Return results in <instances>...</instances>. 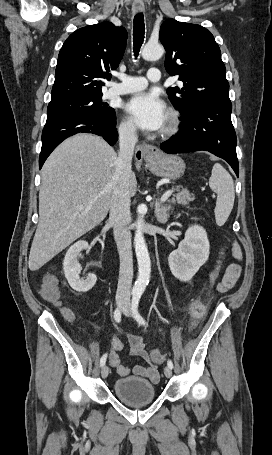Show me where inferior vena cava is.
<instances>
[{
	"instance_id": "1",
	"label": "inferior vena cava",
	"mask_w": 272,
	"mask_h": 455,
	"mask_svg": "<svg viewBox=\"0 0 272 455\" xmlns=\"http://www.w3.org/2000/svg\"><path fill=\"white\" fill-rule=\"evenodd\" d=\"M136 142L137 135L134 125H127L119 129L120 152L116 170L112 178L113 192L110 203L109 221L113 225L114 239L120 258L116 295L121 298L130 297L133 278L131 232L128 229L131 220L129 176L131 174V161Z\"/></svg>"
}]
</instances>
